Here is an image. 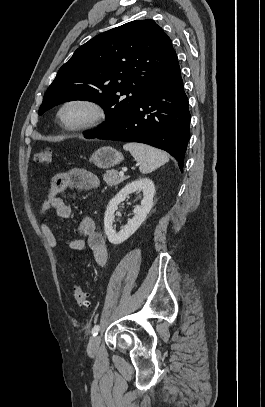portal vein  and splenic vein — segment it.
<instances>
[{"mask_svg": "<svg viewBox=\"0 0 265 407\" xmlns=\"http://www.w3.org/2000/svg\"><path fill=\"white\" fill-rule=\"evenodd\" d=\"M119 175H120V176H124V171H120V172H119Z\"/></svg>", "mask_w": 265, "mask_h": 407, "instance_id": "portal-vein-and-splenic-vein-1", "label": "portal vein and splenic vein"}]
</instances>
